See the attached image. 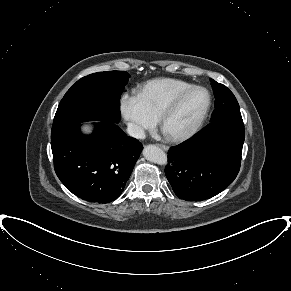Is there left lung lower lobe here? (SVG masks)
I'll return each mask as SVG.
<instances>
[{
	"instance_id": "left-lung-lower-lobe-1",
	"label": "left lung lower lobe",
	"mask_w": 291,
	"mask_h": 291,
	"mask_svg": "<svg viewBox=\"0 0 291 291\" xmlns=\"http://www.w3.org/2000/svg\"><path fill=\"white\" fill-rule=\"evenodd\" d=\"M245 139L242 119L220 118L168 152L165 174L178 198L213 197L236 178Z\"/></svg>"
}]
</instances>
